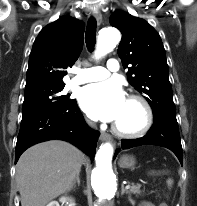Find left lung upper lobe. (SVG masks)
I'll use <instances>...</instances> for the list:
<instances>
[{"label":"left lung upper lobe","instance_id":"5c2ea615","mask_svg":"<svg viewBox=\"0 0 197 206\" xmlns=\"http://www.w3.org/2000/svg\"><path fill=\"white\" fill-rule=\"evenodd\" d=\"M110 24L122 33L118 55L128 69V81L145 95L154 119L176 120L166 53L157 31L147 21L123 11L113 13Z\"/></svg>","mask_w":197,"mask_h":206}]
</instances>
